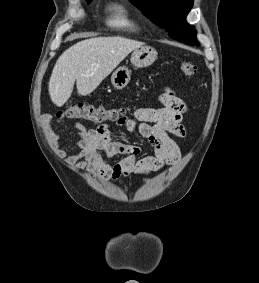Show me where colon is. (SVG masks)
I'll return each mask as SVG.
<instances>
[{
    "instance_id": "obj_1",
    "label": "colon",
    "mask_w": 259,
    "mask_h": 283,
    "mask_svg": "<svg viewBox=\"0 0 259 283\" xmlns=\"http://www.w3.org/2000/svg\"><path fill=\"white\" fill-rule=\"evenodd\" d=\"M180 71L186 76H194L197 72V66L191 62H182ZM126 113L124 108H105L103 106H93L85 103H75L57 114L59 118L82 119L92 123H106L118 121Z\"/></svg>"
}]
</instances>
